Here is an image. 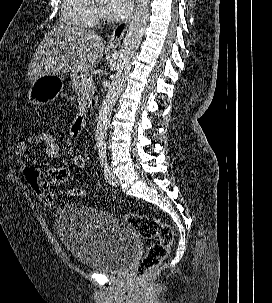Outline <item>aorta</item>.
I'll return each mask as SVG.
<instances>
[{
	"label": "aorta",
	"instance_id": "762f6f07",
	"mask_svg": "<svg viewBox=\"0 0 272 303\" xmlns=\"http://www.w3.org/2000/svg\"><path fill=\"white\" fill-rule=\"evenodd\" d=\"M149 3L150 0H138L134 16L123 40L112 83L98 114L95 140L99 146L105 145L113 107L125 86L131 68V60L142 41L149 17Z\"/></svg>",
	"mask_w": 272,
	"mask_h": 303
}]
</instances>
